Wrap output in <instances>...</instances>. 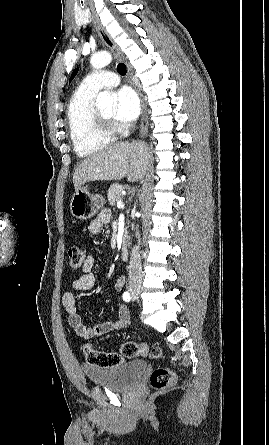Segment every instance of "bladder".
Instances as JSON below:
<instances>
[{
    "instance_id": "obj_1",
    "label": "bladder",
    "mask_w": 269,
    "mask_h": 445,
    "mask_svg": "<svg viewBox=\"0 0 269 445\" xmlns=\"http://www.w3.org/2000/svg\"><path fill=\"white\" fill-rule=\"evenodd\" d=\"M82 370L86 379L92 384L113 391H123L139 382L147 370V363L137 359L110 368L83 366Z\"/></svg>"
}]
</instances>
